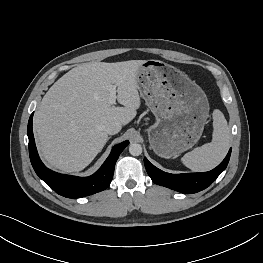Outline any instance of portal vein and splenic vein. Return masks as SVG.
Wrapping results in <instances>:
<instances>
[{
	"mask_svg": "<svg viewBox=\"0 0 263 263\" xmlns=\"http://www.w3.org/2000/svg\"><path fill=\"white\" fill-rule=\"evenodd\" d=\"M110 97H109V103L111 105L116 103L117 95H116V85H110L109 87Z\"/></svg>",
	"mask_w": 263,
	"mask_h": 263,
	"instance_id": "portal-vein-and-splenic-vein-1",
	"label": "portal vein and splenic vein"
}]
</instances>
